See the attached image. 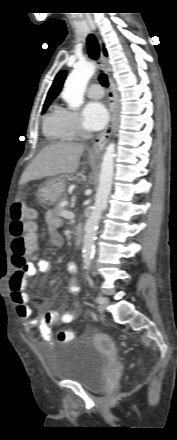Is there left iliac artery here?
Returning <instances> with one entry per match:
<instances>
[{
	"instance_id": "obj_1",
	"label": "left iliac artery",
	"mask_w": 177,
	"mask_h": 440,
	"mask_svg": "<svg viewBox=\"0 0 177 440\" xmlns=\"http://www.w3.org/2000/svg\"><path fill=\"white\" fill-rule=\"evenodd\" d=\"M95 301H96L97 303L101 304V303H103L104 298H103V297H97Z\"/></svg>"
}]
</instances>
